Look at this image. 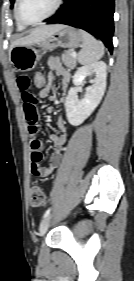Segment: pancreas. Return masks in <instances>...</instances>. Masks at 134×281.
<instances>
[{"label": "pancreas", "instance_id": "1", "mask_svg": "<svg viewBox=\"0 0 134 281\" xmlns=\"http://www.w3.org/2000/svg\"><path fill=\"white\" fill-rule=\"evenodd\" d=\"M72 50L64 51L62 54V62L65 66L70 69H74L76 67V58L72 57Z\"/></svg>", "mask_w": 134, "mask_h": 281}]
</instances>
